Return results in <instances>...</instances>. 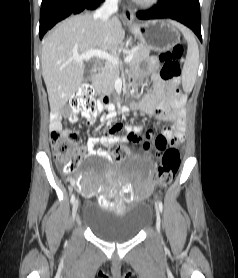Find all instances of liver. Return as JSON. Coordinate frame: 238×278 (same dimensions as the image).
<instances>
[{"mask_svg": "<svg viewBox=\"0 0 238 278\" xmlns=\"http://www.w3.org/2000/svg\"><path fill=\"white\" fill-rule=\"evenodd\" d=\"M125 33L120 20L104 23L95 14L71 16L59 23L43 40L41 64L50 109L58 112L75 95L84 76V61L74 56L100 49L116 51Z\"/></svg>", "mask_w": 238, "mask_h": 278, "instance_id": "6515ba94", "label": "liver"}]
</instances>
